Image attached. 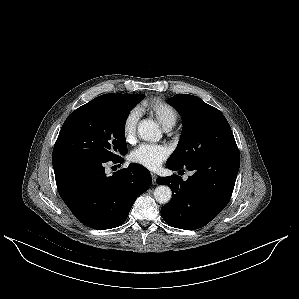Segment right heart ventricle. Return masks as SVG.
Listing matches in <instances>:
<instances>
[{"instance_id": "obj_1", "label": "right heart ventricle", "mask_w": 299, "mask_h": 299, "mask_svg": "<svg viewBox=\"0 0 299 299\" xmlns=\"http://www.w3.org/2000/svg\"><path fill=\"white\" fill-rule=\"evenodd\" d=\"M143 110L149 112L156 118L164 129L172 128L178 120L177 111L160 98H154L144 103Z\"/></svg>"}]
</instances>
